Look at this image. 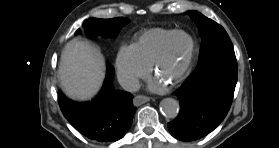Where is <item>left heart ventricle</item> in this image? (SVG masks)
Instances as JSON below:
<instances>
[{"label": "left heart ventricle", "mask_w": 279, "mask_h": 148, "mask_svg": "<svg viewBox=\"0 0 279 148\" xmlns=\"http://www.w3.org/2000/svg\"><path fill=\"white\" fill-rule=\"evenodd\" d=\"M189 47L190 40L184 35L173 40L169 55L157 70L156 76L159 80L170 82L174 79L185 62Z\"/></svg>", "instance_id": "1"}]
</instances>
